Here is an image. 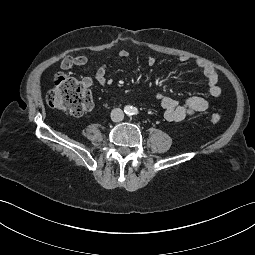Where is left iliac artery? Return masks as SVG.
<instances>
[{"label":"left iliac artery","mask_w":255,"mask_h":255,"mask_svg":"<svg viewBox=\"0 0 255 255\" xmlns=\"http://www.w3.org/2000/svg\"><path fill=\"white\" fill-rule=\"evenodd\" d=\"M137 114H138L137 108H133V110H132V115H137Z\"/></svg>","instance_id":"1"}]
</instances>
